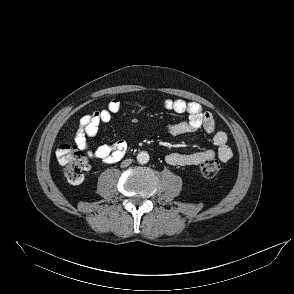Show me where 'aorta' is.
<instances>
[{
	"mask_svg": "<svg viewBox=\"0 0 294 294\" xmlns=\"http://www.w3.org/2000/svg\"><path fill=\"white\" fill-rule=\"evenodd\" d=\"M150 156L146 151H141L137 155V161L140 164H146L149 162Z\"/></svg>",
	"mask_w": 294,
	"mask_h": 294,
	"instance_id": "762f6f07",
	"label": "aorta"
}]
</instances>
